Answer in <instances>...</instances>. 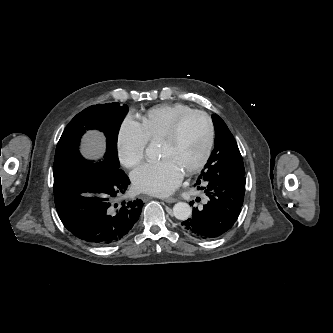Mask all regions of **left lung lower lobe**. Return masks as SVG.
<instances>
[{"mask_svg": "<svg viewBox=\"0 0 333 333\" xmlns=\"http://www.w3.org/2000/svg\"><path fill=\"white\" fill-rule=\"evenodd\" d=\"M245 184V177L221 178L212 172L201 173L195 186L208 201L193 208L192 217L182 222L184 230L199 239H212L227 232L240 214Z\"/></svg>", "mask_w": 333, "mask_h": 333, "instance_id": "left-lung-lower-lobe-1", "label": "left lung lower lobe"}]
</instances>
